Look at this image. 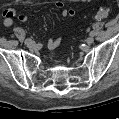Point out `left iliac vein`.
Here are the masks:
<instances>
[{
    "mask_svg": "<svg viewBox=\"0 0 119 119\" xmlns=\"http://www.w3.org/2000/svg\"><path fill=\"white\" fill-rule=\"evenodd\" d=\"M93 42H94V38L92 36H90L86 39L87 44H92Z\"/></svg>",
    "mask_w": 119,
    "mask_h": 119,
    "instance_id": "4c4485c4",
    "label": "left iliac vein"
}]
</instances>
